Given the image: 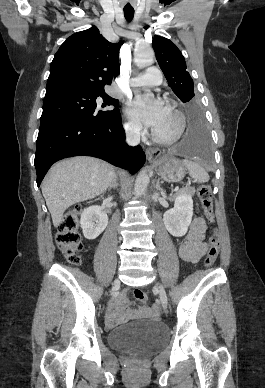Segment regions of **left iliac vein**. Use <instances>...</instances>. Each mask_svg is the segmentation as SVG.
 I'll return each mask as SVG.
<instances>
[{
    "instance_id": "1",
    "label": "left iliac vein",
    "mask_w": 265,
    "mask_h": 388,
    "mask_svg": "<svg viewBox=\"0 0 265 388\" xmlns=\"http://www.w3.org/2000/svg\"><path fill=\"white\" fill-rule=\"evenodd\" d=\"M156 288H157L158 293H159V297H160V300H161V305H162L163 309H166L167 308V295H166V292H165L164 288L160 284H157Z\"/></svg>"
}]
</instances>
